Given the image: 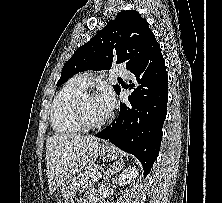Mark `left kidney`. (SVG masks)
<instances>
[{
    "mask_svg": "<svg viewBox=\"0 0 222 203\" xmlns=\"http://www.w3.org/2000/svg\"><path fill=\"white\" fill-rule=\"evenodd\" d=\"M137 176L138 169L136 166L128 167L119 175L118 183L120 186L126 185Z\"/></svg>",
    "mask_w": 222,
    "mask_h": 203,
    "instance_id": "1",
    "label": "left kidney"
}]
</instances>
